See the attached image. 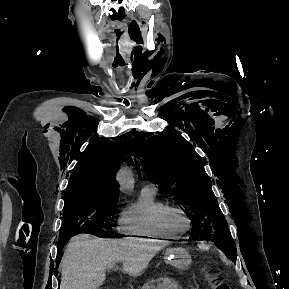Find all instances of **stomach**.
I'll return each instance as SVG.
<instances>
[{
  "instance_id": "1",
  "label": "stomach",
  "mask_w": 289,
  "mask_h": 289,
  "mask_svg": "<svg viewBox=\"0 0 289 289\" xmlns=\"http://www.w3.org/2000/svg\"><path fill=\"white\" fill-rule=\"evenodd\" d=\"M165 261L179 270H187L192 263V258L187 249L174 247L166 250Z\"/></svg>"
}]
</instances>
